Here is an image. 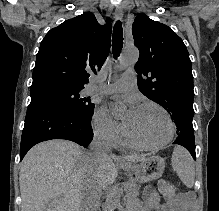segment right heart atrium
<instances>
[{
    "mask_svg": "<svg viewBox=\"0 0 219 211\" xmlns=\"http://www.w3.org/2000/svg\"><path fill=\"white\" fill-rule=\"evenodd\" d=\"M95 136L109 146L118 145L123 137V128L112 120L103 109H98L92 117Z\"/></svg>",
    "mask_w": 219,
    "mask_h": 211,
    "instance_id": "1",
    "label": "right heart atrium"
}]
</instances>
